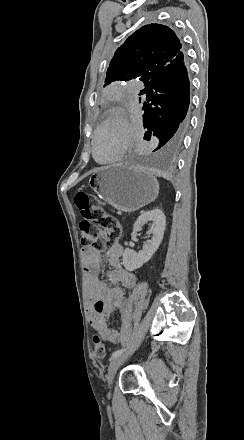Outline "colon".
Returning <instances> with one entry per match:
<instances>
[{
    "instance_id": "obj_1",
    "label": "colon",
    "mask_w": 244,
    "mask_h": 440,
    "mask_svg": "<svg viewBox=\"0 0 244 440\" xmlns=\"http://www.w3.org/2000/svg\"><path fill=\"white\" fill-rule=\"evenodd\" d=\"M74 202L85 219L79 224V230L83 235L86 245H92L97 250H105L110 247L120 229V222L110 213H106L97 199L89 193L80 191L76 194ZM95 311L103 313V305L96 303ZM93 354L97 359H103L106 355V346L101 337L93 336Z\"/></svg>"
}]
</instances>
